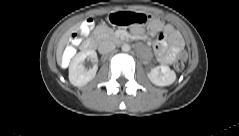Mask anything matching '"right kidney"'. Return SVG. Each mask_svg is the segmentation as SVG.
I'll use <instances>...</instances> for the list:
<instances>
[{"label":"right kidney","instance_id":"1","mask_svg":"<svg viewBox=\"0 0 239 136\" xmlns=\"http://www.w3.org/2000/svg\"><path fill=\"white\" fill-rule=\"evenodd\" d=\"M90 59L94 66L87 70L83 66L85 59ZM97 54L94 50L82 51L76 54L69 65V81L72 85L82 87L91 81L97 72Z\"/></svg>","mask_w":239,"mask_h":136}]
</instances>
